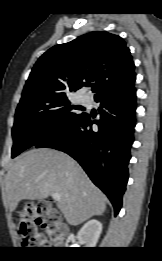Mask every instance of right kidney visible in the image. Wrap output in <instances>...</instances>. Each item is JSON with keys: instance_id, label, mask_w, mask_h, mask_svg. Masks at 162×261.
<instances>
[{"instance_id": "right-kidney-1", "label": "right kidney", "mask_w": 162, "mask_h": 261, "mask_svg": "<svg viewBox=\"0 0 162 261\" xmlns=\"http://www.w3.org/2000/svg\"><path fill=\"white\" fill-rule=\"evenodd\" d=\"M102 232V224L98 220H90L84 224L77 234V238L81 244L87 248L96 246L100 234Z\"/></svg>"}]
</instances>
